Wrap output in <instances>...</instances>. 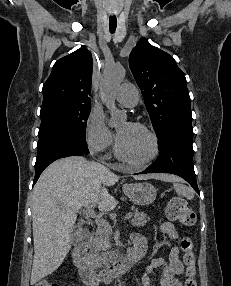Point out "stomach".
Wrapping results in <instances>:
<instances>
[{
  "instance_id": "stomach-1",
  "label": "stomach",
  "mask_w": 231,
  "mask_h": 286,
  "mask_svg": "<svg viewBox=\"0 0 231 286\" xmlns=\"http://www.w3.org/2000/svg\"><path fill=\"white\" fill-rule=\"evenodd\" d=\"M123 191L133 203L141 206L153 203L157 196L155 187L148 182L124 185Z\"/></svg>"
}]
</instances>
